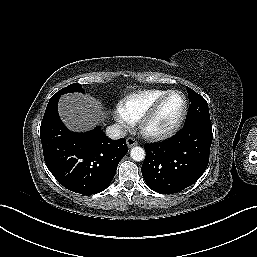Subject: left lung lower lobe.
Masks as SVG:
<instances>
[{
  "label": "left lung lower lobe",
  "instance_id": "0a47b994",
  "mask_svg": "<svg viewBox=\"0 0 257 257\" xmlns=\"http://www.w3.org/2000/svg\"><path fill=\"white\" fill-rule=\"evenodd\" d=\"M212 126L184 125L173 138L146 144L142 175L160 194H173L194 184L205 172L212 143Z\"/></svg>",
  "mask_w": 257,
  "mask_h": 257
}]
</instances>
